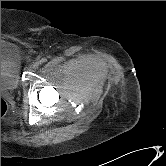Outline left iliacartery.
Returning a JSON list of instances; mask_svg holds the SVG:
<instances>
[{
    "label": "left iliac artery",
    "mask_w": 166,
    "mask_h": 166,
    "mask_svg": "<svg viewBox=\"0 0 166 166\" xmlns=\"http://www.w3.org/2000/svg\"><path fill=\"white\" fill-rule=\"evenodd\" d=\"M46 61H47L46 58H42L41 61H40V64H41V63H44V62H46Z\"/></svg>",
    "instance_id": "44dca946"
}]
</instances>
